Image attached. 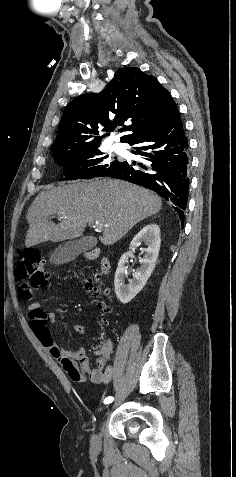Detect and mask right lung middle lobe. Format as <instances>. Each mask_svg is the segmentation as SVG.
<instances>
[{
  "label": "right lung middle lobe",
  "instance_id": "right-lung-middle-lobe-1",
  "mask_svg": "<svg viewBox=\"0 0 236 477\" xmlns=\"http://www.w3.org/2000/svg\"><path fill=\"white\" fill-rule=\"evenodd\" d=\"M55 161L66 169L61 180L92 179L106 176L122 161L102 153L99 147H87L75 152L53 155Z\"/></svg>",
  "mask_w": 236,
  "mask_h": 477
}]
</instances>
